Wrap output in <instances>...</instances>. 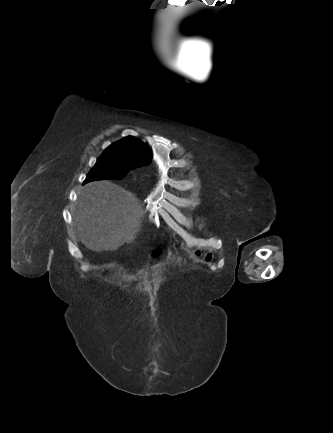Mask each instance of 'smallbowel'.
<instances>
[{"instance_id": "small-bowel-1", "label": "small bowel", "mask_w": 333, "mask_h": 433, "mask_svg": "<svg viewBox=\"0 0 333 433\" xmlns=\"http://www.w3.org/2000/svg\"><path fill=\"white\" fill-rule=\"evenodd\" d=\"M212 251H204L201 248H195L190 251V256L204 257L207 262H210L213 257Z\"/></svg>"}]
</instances>
